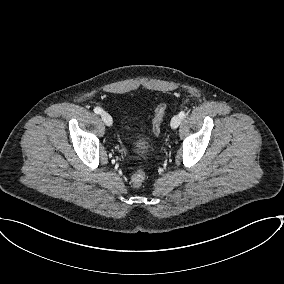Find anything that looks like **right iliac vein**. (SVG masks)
<instances>
[{
    "label": "right iliac vein",
    "mask_w": 284,
    "mask_h": 284,
    "mask_svg": "<svg viewBox=\"0 0 284 284\" xmlns=\"http://www.w3.org/2000/svg\"><path fill=\"white\" fill-rule=\"evenodd\" d=\"M101 118L107 126H111L113 124V119L107 112H102Z\"/></svg>",
    "instance_id": "obj_1"
}]
</instances>
